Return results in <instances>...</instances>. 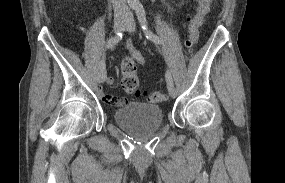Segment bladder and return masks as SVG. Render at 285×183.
I'll return each mask as SVG.
<instances>
[{
	"label": "bladder",
	"mask_w": 285,
	"mask_h": 183,
	"mask_svg": "<svg viewBox=\"0 0 285 183\" xmlns=\"http://www.w3.org/2000/svg\"><path fill=\"white\" fill-rule=\"evenodd\" d=\"M115 122L131 132L142 133L160 128L163 124V110L147 103H127L114 112Z\"/></svg>",
	"instance_id": "bladder-1"
}]
</instances>
